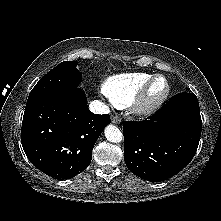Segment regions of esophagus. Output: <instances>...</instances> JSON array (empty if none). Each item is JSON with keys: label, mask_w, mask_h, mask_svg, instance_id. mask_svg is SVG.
Instances as JSON below:
<instances>
[{"label": "esophagus", "mask_w": 221, "mask_h": 221, "mask_svg": "<svg viewBox=\"0 0 221 221\" xmlns=\"http://www.w3.org/2000/svg\"><path fill=\"white\" fill-rule=\"evenodd\" d=\"M112 123L114 124H120L121 123V118L119 116H113L112 117Z\"/></svg>", "instance_id": "obj_1"}]
</instances>
